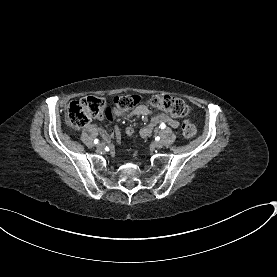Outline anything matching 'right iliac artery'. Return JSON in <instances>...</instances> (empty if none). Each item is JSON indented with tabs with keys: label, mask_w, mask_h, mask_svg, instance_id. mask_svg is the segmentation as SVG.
Listing matches in <instances>:
<instances>
[{
	"label": "right iliac artery",
	"mask_w": 277,
	"mask_h": 277,
	"mask_svg": "<svg viewBox=\"0 0 277 277\" xmlns=\"http://www.w3.org/2000/svg\"><path fill=\"white\" fill-rule=\"evenodd\" d=\"M94 143H95V144H98V143H99V140H98V139H95V140H94Z\"/></svg>",
	"instance_id": "82829eb1"
}]
</instances>
